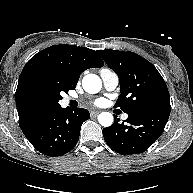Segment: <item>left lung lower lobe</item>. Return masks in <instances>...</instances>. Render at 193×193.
Returning <instances> with one entry per match:
<instances>
[{"label": "left lung lower lobe", "instance_id": "obj_1", "mask_svg": "<svg viewBox=\"0 0 193 193\" xmlns=\"http://www.w3.org/2000/svg\"><path fill=\"white\" fill-rule=\"evenodd\" d=\"M170 110L128 115L126 123H114L103 129L108 146L120 154H140L163 133Z\"/></svg>", "mask_w": 193, "mask_h": 193}]
</instances>
